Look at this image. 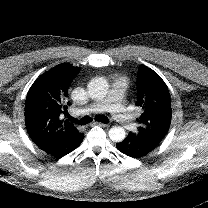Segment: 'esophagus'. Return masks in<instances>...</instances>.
I'll list each match as a JSON object with an SVG mask.
<instances>
[{"instance_id": "34e87169", "label": "esophagus", "mask_w": 208, "mask_h": 208, "mask_svg": "<svg viewBox=\"0 0 208 208\" xmlns=\"http://www.w3.org/2000/svg\"><path fill=\"white\" fill-rule=\"evenodd\" d=\"M102 126V127H109V123H100V122H93L91 123V126Z\"/></svg>"}]
</instances>
